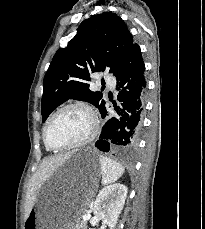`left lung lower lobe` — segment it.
I'll list each match as a JSON object with an SVG mask.
<instances>
[{
	"label": "left lung lower lobe",
	"mask_w": 205,
	"mask_h": 229,
	"mask_svg": "<svg viewBox=\"0 0 205 229\" xmlns=\"http://www.w3.org/2000/svg\"><path fill=\"white\" fill-rule=\"evenodd\" d=\"M145 65L140 47L133 43L123 56L113 74L117 78L120 106L114 108L116 115L109 118L102 128L100 139L95 146L104 152L114 151L120 156H132L137 147L142 129L146 80ZM105 118L106 108L100 111Z\"/></svg>",
	"instance_id": "left-lung-lower-lobe-1"
}]
</instances>
